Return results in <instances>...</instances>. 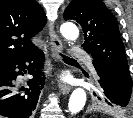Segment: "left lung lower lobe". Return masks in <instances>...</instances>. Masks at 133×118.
<instances>
[{
  "label": "left lung lower lobe",
  "mask_w": 133,
  "mask_h": 118,
  "mask_svg": "<svg viewBox=\"0 0 133 118\" xmlns=\"http://www.w3.org/2000/svg\"><path fill=\"white\" fill-rule=\"evenodd\" d=\"M93 64L99 76L98 83L104 90L106 103L110 106L127 107L130 104L132 85L118 77L104 64L97 61Z\"/></svg>",
  "instance_id": "0a47b994"
}]
</instances>
